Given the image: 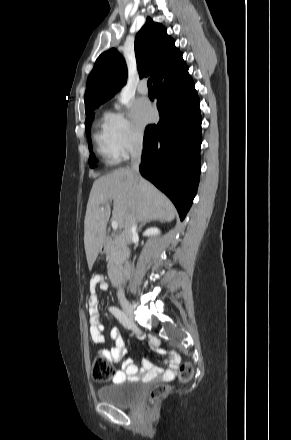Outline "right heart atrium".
Here are the masks:
<instances>
[{
	"mask_svg": "<svg viewBox=\"0 0 291 440\" xmlns=\"http://www.w3.org/2000/svg\"><path fill=\"white\" fill-rule=\"evenodd\" d=\"M105 125L111 146L119 158L126 157L142 143L140 130L121 112H108Z\"/></svg>",
	"mask_w": 291,
	"mask_h": 440,
	"instance_id": "obj_1",
	"label": "right heart atrium"
}]
</instances>
